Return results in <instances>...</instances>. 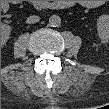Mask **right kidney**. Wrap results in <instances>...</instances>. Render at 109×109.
Masks as SVG:
<instances>
[{"label":"right kidney","mask_w":109,"mask_h":109,"mask_svg":"<svg viewBox=\"0 0 109 109\" xmlns=\"http://www.w3.org/2000/svg\"><path fill=\"white\" fill-rule=\"evenodd\" d=\"M11 27L9 25H3L1 31V42L5 44L10 38Z\"/></svg>","instance_id":"1"}]
</instances>
